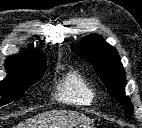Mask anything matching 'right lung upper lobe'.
Returning <instances> with one entry per match:
<instances>
[{"instance_id":"right-lung-upper-lobe-1","label":"right lung upper lobe","mask_w":142,"mask_h":128,"mask_svg":"<svg viewBox=\"0 0 142 128\" xmlns=\"http://www.w3.org/2000/svg\"><path fill=\"white\" fill-rule=\"evenodd\" d=\"M42 62H46V58L43 52L38 49L22 51L19 54L10 56L5 62V68L7 70V77L5 79L18 77L28 68Z\"/></svg>"}]
</instances>
